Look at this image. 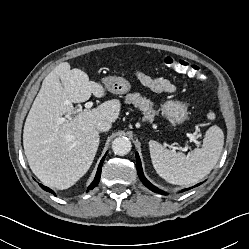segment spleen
Wrapping results in <instances>:
<instances>
[{
  "mask_svg": "<svg viewBox=\"0 0 249 249\" xmlns=\"http://www.w3.org/2000/svg\"><path fill=\"white\" fill-rule=\"evenodd\" d=\"M208 119H215L210 112ZM224 134L220 127L211 126L205 133L203 145L189 155L164 148L160 143L149 142L153 166L160 177L175 185H191L207 176L220 158Z\"/></svg>",
  "mask_w": 249,
  "mask_h": 249,
  "instance_id": "spleen-1",
  "label": "spleen"
}]
</instances>
